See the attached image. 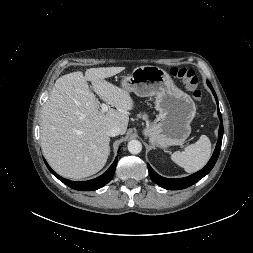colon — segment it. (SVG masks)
Returning <instances> with one entry per match:
<instances>
[{
	"mask_svg": "<svg viewBox=\"0 0 253 253\" xmlns=\"http://www.w3.org/2000/svg\"><path fill=\"white\" fill-rule=\"evenodd\" d=\"M170 74L184 84L194 100L200 101L202 99V92L198 87V78L193 70L173 67L170 69Z\"/></svg>",
	"mask_w": 253,
	"mask_h": 253,
	"instance_id": "1",
	"label": "colon"
}]
</instances>
